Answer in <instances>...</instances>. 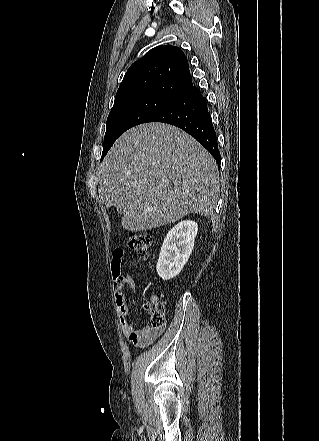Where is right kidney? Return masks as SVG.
Returning a JSON list of instances; mask_svg holds the SVG:
<instances>
[{"label":"right kidney","instance_id":"obj_1","mask_svg":"<svg viewBox=\"0 0 319 441\" xmlns=\"http://www.w3.org/2000/svg\"><path fill=\"white\" fill-rule=\"evenodd\" d=\"M198 225L184 220L173 226L164 238L157 262V273L163 280L177 276L193 250Z\"/></svg>","mask_w":319,"mask_h":441}]
</instances>
